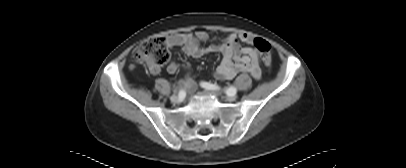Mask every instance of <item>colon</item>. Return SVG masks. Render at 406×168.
Wrapping results in <instances>:
<instances>
[{
  "label": "colon",
  "instance_id": "1",
  "mask_svg": "<svg viewBox=\"0 0 406 168\" xmlns=\"http://www.w3.org/2000/svg\"><path fill=\"white\" fill-rule=\"evenodd\" d=\"M253 44L259 52L264 65L270 69L272 66L270 44L261 38L253 39ZM132 57L135 61L148 66H160L167 63L170 54L166 39L164 37L155 36L145 40L134 49Z\"/></svg>",
  "mask_w": 406,
  "mask_h": 168
}]
</instances>
